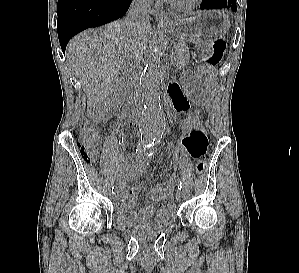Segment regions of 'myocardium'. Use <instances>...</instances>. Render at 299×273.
<instances>
[{
  "label": "myocardium",
  "mask_w": 299,
  "mask_h": 273,
  "mask_svg": "<svg viewBox=\"0 0 299 273\" xmlns=\"http://www.w3.org/2000/svg\"><path fill=\"white\" fill-rule=\"evenodd\" d=\"M202 0H192L190 3L186 5H179L171 0H166L168 6L175 12L178 13H189L196 9Z\"/></svg>",
  "instance_id": "obj_1"
}]
</instances>
